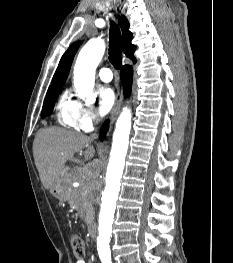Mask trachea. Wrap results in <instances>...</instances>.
Masks as SVG:
<instances>
[{
    "label": "trachea",
    "mask_w": 233,
    "mask_h": 263,
    "mask_svg": "<svg viewBox=\"0 0 233 263\" xmlns=\"http://www.w3.org/2000/svg\"><path fill=\"white\" fill-rule=\"evenodd\" d=\"M109 61L117 69L122 63V39L118 26L111 22L109 32Z\"/></svg>",
    "instance_id": "trachea-1"
}]
</instances>
